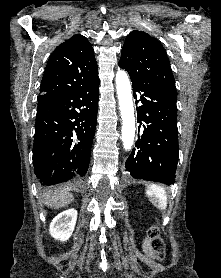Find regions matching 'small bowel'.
Wrapping results in <instances>:
<instances>
[{
    "mask_svg": "<svg viewBox=\"0 0 221 278\" xmlns=\"http://www.w3.org/2000/svg\"><path fill=\"white\" fill-rule=\"evenodd\" d=\"M144 250H145L146 254L152 255V254H151V251H150V249H149V240H148V239H146V240L144 241Z\"/></svg>",
    "mask_w": 221,
    "mask_h": 278,
    "instance_id": "obj_1",
    "label": "small bowel"
}]
</instances>
